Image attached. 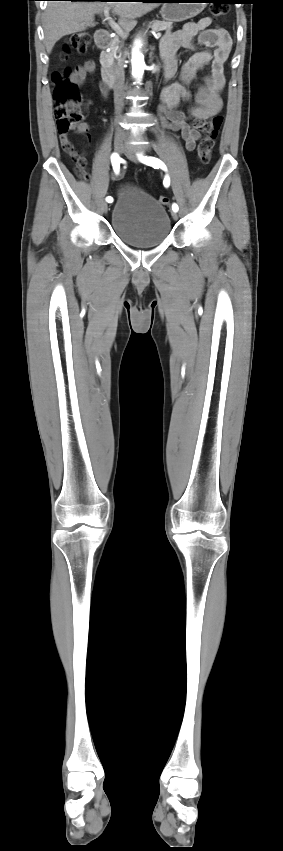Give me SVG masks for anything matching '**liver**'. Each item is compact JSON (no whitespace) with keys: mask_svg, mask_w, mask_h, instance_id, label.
<instances>
[{"mask_svg":"<svg viewBox=\"0 0 283 851\" xmlns=\"http://www.w3.org/2000/svg\"><path fill=\"white\" fill-rule=\"evenodd\" d=\"M158 6L156 2L49 1L43 14L46 51L50 54L62 37L94 26V15L105 8L112 9L120 17L119 25L129 32L136 18Z\"/></svg>","mask_w":283,"mask_h":851,"instance_id":"obj_1","label":"liver"}]
</instances>
